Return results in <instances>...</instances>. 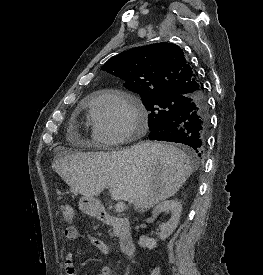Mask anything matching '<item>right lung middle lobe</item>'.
I'll return each instance as SVG.
<instances>
[{
    "label": "right lung middle lobe",
    "instance_id": "dd1d6c3e",
    "mask_svg": "<svg viewBox=\"0 0 263 275\" xmlns=\"http://www.w3.org/2000/svg\"><path fill=\"white\" fill-rule=\"evenodd\" d=\"M142 102L149 111V129L156 128L166 119L180 112L190 98L175 96H141Z\"/></svg>",
    "mask_w": 263,
    "mask_h": 275
}]
</instances>
